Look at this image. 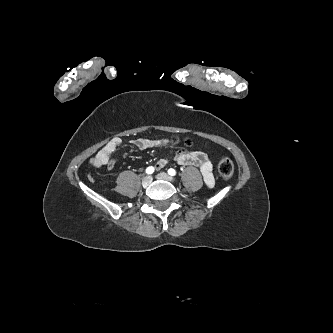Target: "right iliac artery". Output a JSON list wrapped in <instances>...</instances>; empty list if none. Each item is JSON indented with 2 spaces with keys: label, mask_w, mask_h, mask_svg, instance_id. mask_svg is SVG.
<instances>
[{
  "label": "right iliac artery",
  "mask_w": 333,
  "mask_h": 333,
  "mask_svg": "<svg viewBox=\"0 0 333 333\" xmlns=\"http://www.w3.org/2000/svg\"><path fill=\"white\" fill-rule=\"evenodd\" d=\"M154 172V167L150 166L146 169L147 174H152Z\"/></svg>",
  "instance_id": "1"
}]
</instances>
